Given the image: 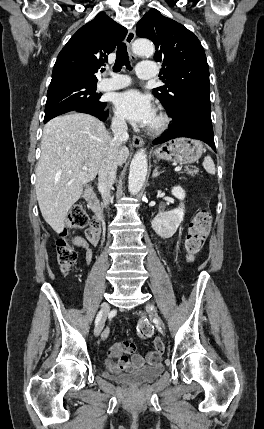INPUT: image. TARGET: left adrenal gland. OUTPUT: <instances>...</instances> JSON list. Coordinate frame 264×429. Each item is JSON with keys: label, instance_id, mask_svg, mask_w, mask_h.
I'll list each match as a JSON object with an SVG mask.
<instances>
[{"label": "left adrenal gland", "instance_id": "obj_1", "mask_svg": "<svg viewBox=\"0 0 264 429\" xmlns=\"http://www.w3.org/2000/svg\"><path fill=\"white\" fill-rule=\"evenodd\" d=\"M161 173H162V171L159 172L158 167H155L153 174H152V177L155 178V177L159 176Z\"/></svg>", "mask_w": 264, "mask_h": 429}]
</instances>
